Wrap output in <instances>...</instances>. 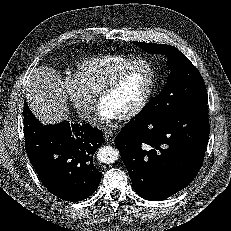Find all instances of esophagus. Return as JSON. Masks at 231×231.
I'll list each match as a JSON object with an SVG mask.
<instances>
[{"label":"esophagus","instance_id":"1","mask_svg":"<svg viewBox=\"0 0 231 231\" xmlns=\"http://www.w3.org/2000/svg\"><path fill=\"white\" fill-rule=\"evenodd\" d=\"M104 139L106 142H112L115 139V134L112 131H105L104 132Z\"/></svg>","mask_w":231,"mask_h":231}]
</instances>
